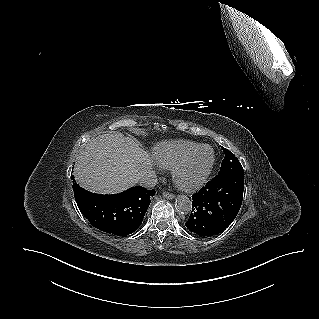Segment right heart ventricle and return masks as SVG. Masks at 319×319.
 Masks as SVG:
<instances>
[{
	"mask_svg": "<svg viewBox=\"0 0 319 319\" xmlns=\"http://www.w3.org/2000/svg\"><path fill=\"white\" fill-rule=\"evenodd\" d=\"M199 145L201 144L188 140L165 141L154 147L153 156L160 166L173 169L183 157Z\"/></svg>",
	"mask_w": 319,
	"mask_h": 319,
	"instance_id": "obj_1",
	"label": "right heart ventricle"
}]
</instances>
